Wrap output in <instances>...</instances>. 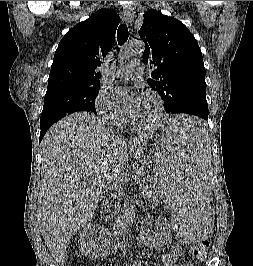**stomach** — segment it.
Returning a JSON list of instances; mask_svg holds the SVG:
<instances>
[{
  "instance_id": "0dacf381",
  "label": "stomach",
  "mask_w": 253,
  "mask_h": 266,
  "mask_svg": "<svg viewBox=\"0 0 253 266\" xmlns=\"http://www.w3.org/2000/svg\"><path fill=\"white\" fill-rule=\"evenodd\" d=\"M162 145V137L154 136L147 138L143 143L139 144L134 150L135 158L144 166L151 167L152 160L155 159V150H159Z\"/></svg>"
}]
</instances>
